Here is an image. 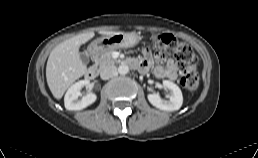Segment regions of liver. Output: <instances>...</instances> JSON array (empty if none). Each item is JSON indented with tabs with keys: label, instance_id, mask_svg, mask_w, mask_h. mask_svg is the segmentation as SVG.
<instances>
[{
	"label": "liver",
	"instance_id": "6515ba94",
	"mask_svg": "<svg viewBox=\"0 0 258 158\" xmlns=\"http://www.w3.org/2000/svg\"><path fill=\"white\" fill-rule=\"evenodd\" d=\"M122 32L102 31L110 36ZM94 32L78 34L58 44L50 53L46 66L48 87L56 99H61L67 88L86 73L80 59L79 47L94 37Z\"/></svg>",
	"mask_w": 258,
	"mask_h": 158
}]
</instances>
